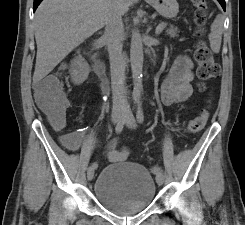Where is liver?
<instances>
[{"label":"liver","instance_id":"6515ba94","mask_svg":"<svg viewBox=\"0 0 245 225\" xmlns=\"http://www.w3.org/2000/svg\"><path fill=\"white\" fill-rule=\"evenodd\" d=\"M125 14L132 0H117ZM110 0H43L35 12L38 82L74 48L104 27Z\"/></svg>","mask_w":245,"mask_h":225}]
</instances>
